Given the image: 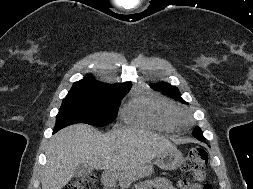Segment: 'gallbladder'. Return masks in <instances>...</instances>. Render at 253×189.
Returning <instances> with one entry per match:
<instances>
[{"instance_id": "gallbladder-1", "label": "gallbladder", "mask_w": 253, "mask_h": 189, "mask_svg": "<svg viewBox=\"0 0 253 189\" xmlns=\"http://www.w3.org/2000/svg\"><path fill=\"white\" fill-rule=\"evenodd\" d=\"M93 170H94V168L92 166H90V165L79 164L75 168L74 176L75 177H82V176L90 174Z\"/></svg>"}]
</instances>
